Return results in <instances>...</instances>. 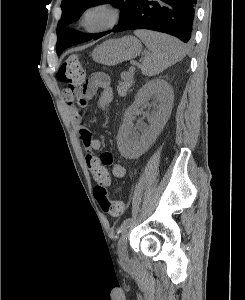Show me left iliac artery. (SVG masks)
<instances>
[{"instance_id": "obj_1", "label": "left iliac artery", "mask_w": 245, "mask_h": 300, "mask_svg": "<svg viewBox=\"0 0 245 300\" xmlns=\"http://www.w3.org/2000/svg\"><path fill=\"white\" fill-rule=\"evenodd\" d=\"M130 223H131V218L125 219V220L122 222V224H121V226H120L118 232L120 233V232L124 231Z\"/></svg>"}]
</instances>
